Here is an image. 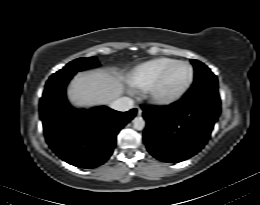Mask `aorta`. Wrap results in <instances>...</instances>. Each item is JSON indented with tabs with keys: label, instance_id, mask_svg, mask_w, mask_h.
<instances>
[{
	"label": "aorta",
	"instance_id": "obj_1",
	"mask_svg": "<svg viewBox=\"0 0 260 205\" xmlns=\"http://www.w3.org/2000/svg\"><path fill=\"white\" fill-rule=\"evenodd\" d=\"M133 127L136 130H143L145 127V120L142 117H135L133 119Z\"/></svg>",
	"mask_w": 260,
	"mask_h": 205
}]
</instances>
